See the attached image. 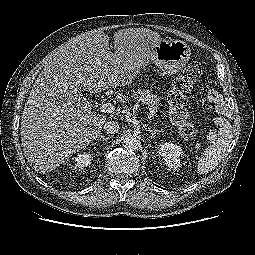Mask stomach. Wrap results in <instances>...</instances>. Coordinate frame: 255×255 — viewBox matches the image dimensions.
I'll list each match as a JSON object with an SVG mask.
<instances>
[{"mask_svg":"<svg viewBox=\"0 0 255 255\" xmlns=\"http://www.w3.org/2000/svg\"><path fill=\"white\" fill-rule=\"evenodd\" d=\"M190 54V47L185 42L161 38L154 48V54L145 59V65L152 61L163 73L175 74L188 63Z\"/></svg>","mask_w":255,"mask_h":255,"instance_id":"stomach-1","label":"stomach"}]
</instances>
